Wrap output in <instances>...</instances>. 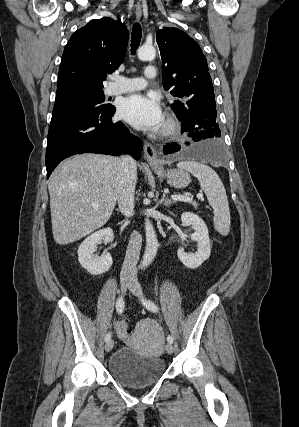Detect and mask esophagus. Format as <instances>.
<instances>
[{
  "mask_svg": "<svg viewBox=\"0 0 299 427\" xmlns=\"http://www.w3.org/2000/svg\"><path fill=\"white\" fill-rule=\"evenodd\" d=\"M135 13H136V18L140 20L142 17V8L139 4L136 6ZM144 155H145V159L151 166H157L159 164L157 151L152 146V144L148 142L144 143Z\"/></svg>",
  "mask_w": 299,
  "mask_h": 427,
  "instance_id": "34e87169",
  "label": "esophagus"
}]
</instances>
